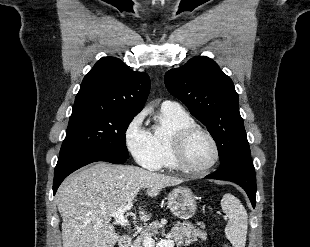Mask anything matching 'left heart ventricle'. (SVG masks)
Returning <instances> with one entry per match:
<instances>
[{
	"instance_id": "1",
	"label": "left heart ventricle",
	"mask_w": 310,
	"mask_h": 247,
	"mask_svg": "<svg viewBox=\"0 0 310 247\" xmlns=\"http://www.w3.org/2000/svg\"><path fill=\"white\" fill-rule=\"evenodd\" d=\"M187 161L193 168L208 165L214 157V150L209 139L203 134H196L187 144Z\"/></svg>"
}]
</instances>
